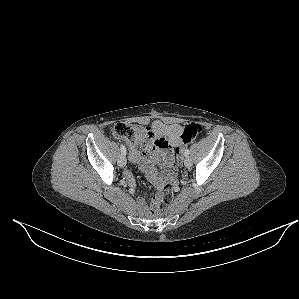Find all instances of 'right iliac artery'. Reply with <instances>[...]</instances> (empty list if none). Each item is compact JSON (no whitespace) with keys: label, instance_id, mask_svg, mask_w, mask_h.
Masks as SVG:
<instances>
[{"label":"right iliac artery","instance_id":"82829eb1","mask_svg":"<svg viewBox=\"0 0 299 299\" xmlns=\"http://www.w3.org/2000/svg\"><path fill=\"white\" fill-rule=\"evenodd\" d=\"M120 149H121L122 155H126V148H125V146L123 144H121Z\"/></svg>","mask_w":299,"mask_h":299}]
</instances>
